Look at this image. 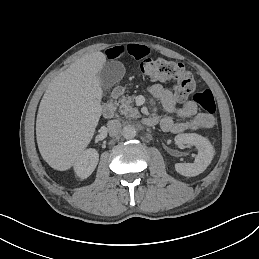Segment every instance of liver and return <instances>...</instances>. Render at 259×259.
<instances>
[{
	"instance_id": "liver-1",
	"label": "liver",
	"mask_w": 259,
	"mask_h": 259,
	"mask_svg": "<svg viewBox=\"0 0 259 259\" xmlns=\"http://www.w3.org/2000/svg\"><path fill=\"white\" fill-rule=\"evenodd\" d=\"M104 53L85 54L48 84L36 119V138L43 159L64 171L90 143L102 114V90L97 74Z\"/></svg>"
}]
</instances>
